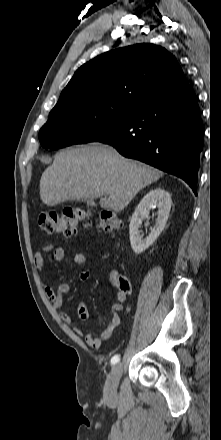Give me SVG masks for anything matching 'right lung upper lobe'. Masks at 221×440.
<instances>
[{
  "mask_svg": "<svg viewBox=\"0 0 221 440\" xmlns=\"http://www.w3.org/2000/svg\"><path fill=\"white\" fill-rule=\"evenodd\" d=\"M188 82L176 58L163 47L137 44L111 50L82 65L53 109L75 103L113 102L137 108Z\"/></svg>",
  "mask_w": 221,
  "mask_h": 440,
  "instance_id": "obj_1",
  "label": "right lung upper lobe"
}]
</instances>
